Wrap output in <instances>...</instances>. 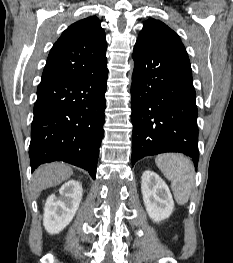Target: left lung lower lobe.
<instances>
[{
  "label": "left lung lower lobe",
  "instance_id": "0a47b994",
  "mask_svg": "<svg viewBox=\"0 0 233 263\" xmlns=\"http://www.w3.org/2000/svg\"><path fill=\"white\" fill-rule=\"evenodd\" d=\"M133 59L132 165L147 155L182 152L197 166L198 111L188 55L135 44Z\"/></svg>",
  "mask_w": 233,
  "mask_h": 263
}]
</instances>
